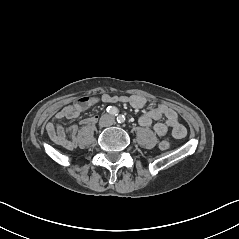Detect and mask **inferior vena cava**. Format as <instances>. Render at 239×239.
<instances>
[{"instance_id":"obj_1","label":"inferior vena cava","mask_w":239,"mask_h":239,"mask_svg":"<svg viewBox=\"0 0 239 239\" xmlns=\"http://www.w3.org/2000/svg\"><path fill=\"white\" fill-rule=\"evenodd\" d=\"M101 119L103 121L104 126H111L115 121L114 117L109 114H104Z\"/></svg>"}]
</instances>
